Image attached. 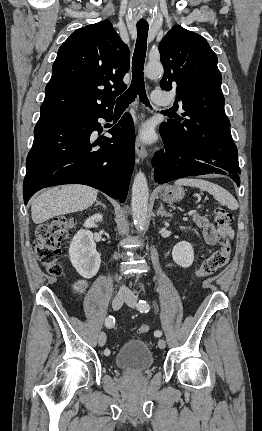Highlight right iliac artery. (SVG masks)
Instances as JSON below:
<instances>
[{
  "mask_svg": "<svg viewBox=\"0 0 262 431\" xmlns=\"http://www.w3.org/2000/svg\"><path fill=\"white\" fill-rule=\"evenodd\" d=\"M114 325H115V318H114V316L110 315L109 317H107V318L105 319V326H106L107 328H112ZM104 354H105V355H109V354H110L109 349H106V350L104 351Z\"/></svg>",
  "mask_w": 262,
  "mask_h": 431,
  "instance_id": "1",
  "label": "right iliac artery"
}]
</instances>
